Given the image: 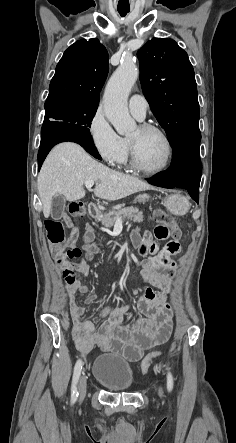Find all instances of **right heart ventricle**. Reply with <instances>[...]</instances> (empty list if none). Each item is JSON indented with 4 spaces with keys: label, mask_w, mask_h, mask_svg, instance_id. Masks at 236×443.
<instances>
[{
    "label": "right heart ventricle",
    "mask_w": 236,
    "mask_h": 443,
    "mask_svg": "<svg viewBox=\"0 0 236 443\" xmlns=\"http://www.w3.org/2000/svg\"><path fill=\"white\" fill-rule=\"evenodd\" d=\"M124 140H125L126 145H127V154H126V157H125V160H124L123 164L124 165H128L129 164V142H128V139H124Z\"/></svg>",
    "instance_id": "1"
}]
</instances>
